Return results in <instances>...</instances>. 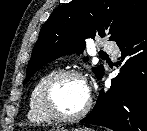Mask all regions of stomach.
<instances>
[{
  "instance_id": "0dacf381",
  "label": "stomach",
  "mask_w": 147,
  "mask_h": 131,
  "mask_svg": "<svg viewBox=\"0 0 147 131\" xmlns=\"http://www.w3.org/2000/svg\"><path fill=\"white\" fill-rule=\"evenodd\" d=\"M52 131H93L90 128H72L71 130L65 129V128H58L57 130H52Z\"/></svg>"
}]
</instances>
